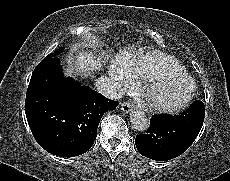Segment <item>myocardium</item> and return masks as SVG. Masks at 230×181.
Here are the masks:
<instances>
[{"mask_svg": "<svg viewBox=\"0 0 230 181\" xmlns=\"http://www.w3.org/2000/svg\"><path fill=\"white\" fill-rule=\"evenodd\" d=\"M176 78H183L189 83L187 93L179 101L173 103H164L156 100L154 98L155 90L165 81ZM196 88V83L192 76L185 69H183L172 73H158L145 82H142L137 91L145 98L149 108L153 111L157 113L172 114L177 113L188 106L195 95Z\"/></svg>", "mask_w": 230, "mask_h": 181, "instance_id": "myocardium-1", "label": "myocardium"}]
</instances>
